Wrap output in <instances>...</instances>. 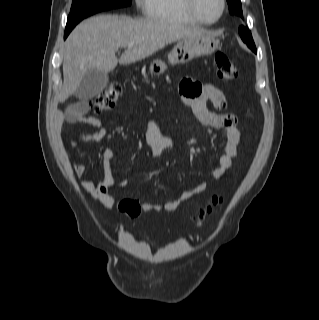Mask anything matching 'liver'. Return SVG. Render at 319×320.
I'll list each match as a JSON object with an SVG mask.
<instances>
[{"label": "liver", "mask_w": 319, "mask_h": 320, "mask_svg": "<svg viewBox=\"0 0 319 320\" xmlns=\"http://www.w3.org/2000/svg\"><path fill=\"white\" fill-rule=\"evenodd\" d=\"M204 33L161 19H132L100 15L81 22L68 36L63 51V87L59 101L75 93L85 73L98 70L107 74L120 64L140 61L166 45ZM132 46V47H129ZM124 48L118 60L115 52Z\"/></svg>", "instance_id": "liver-1"}]
</instances>
